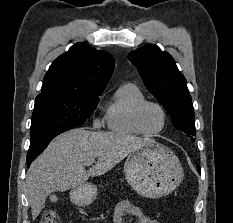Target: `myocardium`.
<instances>
[{
  "mask_svg": "<svg viewBox=\"0 0 233 223\" xmlns=\"http://www.w3.org/2000/svg\"><path fill=\"white\" fill-rule=\"evenodd\" d=\"M149 105H154V106L158 107L164 116V121H165L164 127L161 131H159L157 133L147 132L142 124L143 111ZM169 122H170L169 115H168L166 108L162 104H160L159 102H156V101L145 99L136 106V108L134 109V112H133V125H134V127L136 128V130L140 134L147 136V137H156V136L164 134L166 132V130L168 129Z\"/></svg>",
  "mask_w": 233,
  "mask_h": 223,
  "instance_id": "1",
  "label": "myocardium"
}]
</instances>
